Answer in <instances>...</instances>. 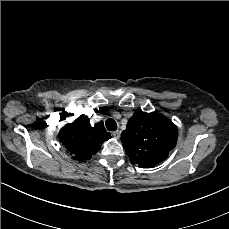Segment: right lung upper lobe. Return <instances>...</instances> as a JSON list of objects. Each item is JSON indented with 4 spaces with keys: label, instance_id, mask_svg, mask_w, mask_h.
<instances>
[{
    "label": "right lung upper lobe",
    "instance_id": "cb5924a9",
    "mask_svg": "<svg viewBox=\"0 0 229 229\" xmlns=\"http://www.w3.org/2000/svg\"><path fill=\"white\" fill-rule=\"evenodd\" d=\"M110 136V133L105 130L103 122H98L92 127L87 116L81 115L73 123L67 124L61 129L59 140L73 155V159L83 162L97 153L101 144Z\"/></svg>",
    "mask_w": 229,
    "mask_h": 229
}]
</instances>
